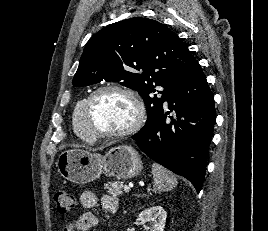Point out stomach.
I'll return each instance as SVG.
<instances>
[{
    "label": "stomach",
    "instance_id": "obj_1",
    "mask_svg": "<svg viewBox=\"0 0 268 231\" xmlns=\"http://www.w3.org/2000/svg\"><path fill=\"white\" fill-rule=\"evenodd\" d=\"M56 167L66 180L86 184L106 174L117 179H129L139 175L143 169L138 153L131 146L118 145L104 155L82 149L61 152Z\"/></svg>",
    "mask_w": 268,
    "mask_h": 231
}]
</instances>
